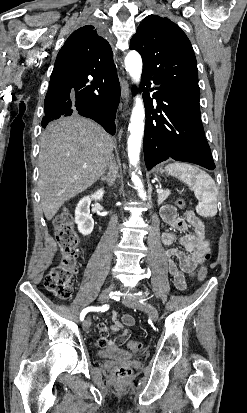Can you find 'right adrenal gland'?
Wrapping results in <instances>:
<instances>
[{
  "label": "right adrenal gland",
  "mask_w": 247,
  "mask_h": 413,
  "mask_svg": "<svg viewBox=\"0 0 247 413\" xmlns=\"http://www.w3.org/2000/svg\"><path fill=\"white\" fill-rule=\"evenodd\" d=\"M115 178L116 172L111 170V168H109V172H103V174H101V180H106L108 186H112V184H114Z\"/></svg>",
  "instance_id": "1"
}]
</instances>
